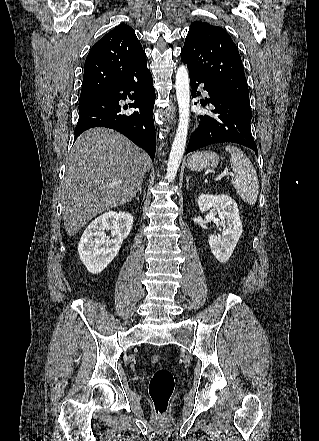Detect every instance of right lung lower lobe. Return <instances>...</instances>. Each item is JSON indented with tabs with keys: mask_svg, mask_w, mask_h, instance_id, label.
Returning a JSON list of instances; mask_svg holds the SVG:
<instances>
[{
	"mask_svg": "<svg viewBox=\"0 0 319 441\" xmlns=\"http://www.w3.org/2000/svg\"><path fill=\"white\" fill-rule=\"evenodd\" d=\"M135 100L129 108L140 111L131 115L124 114L127 107H121L119 100ZM155 90L150 71L130 77L117 83L90 99L79 103V119L75 128V137L93 127L114 129L143 148L154 160L156 137L152 118Z\"/></svg>",
	"mask_w": 319,
	"mask_h": 441,
	"instance_id": "right-lung-lower-lobe-1",
	"label": "right lung lower lobe"
}]
</instances>
